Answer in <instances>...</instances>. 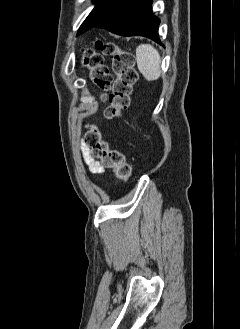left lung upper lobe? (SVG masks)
Wrapping results in <instances>:
<instances>
[{
  "mask_svg": "<svg viewBox=\"0 0 240 329\" xmlns=\"http://www.w3.org/2000/svg\"><path fill=\"white\" fill-rule=\"evenodd\" d=\"M97 2L94 9L82 23L78 34H81L92 27H94L99 21H101L121 0H94Z\"/></svg>",
  "mask_w": 240,
  "mask_h": 329,
  "instance_id": "obj_1",
  "label": "left lung upper lobe"
}]
</instances>
